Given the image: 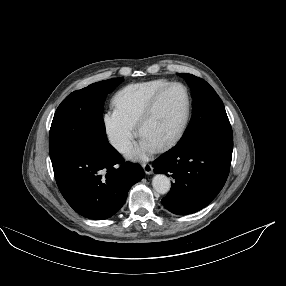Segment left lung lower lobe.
<instances>
[{"mask_svg":"<svg viewBox=\"0 0 286 286\" xmlns=\"http://www.w3.org/2000/svg\"><path fill=\"white\" fill-rule=\"evenodd\" d=\"M233 141H203L173 147L154 161V172L175 182L162 204L170 212L186 215L207 206L224 186L232 159Z\"/></svg>","mask_w":286,"mask_h":286,"instance_id":"left-lung-lower-lobe-1","label":"left lung lower lobe"}]
</instances>
